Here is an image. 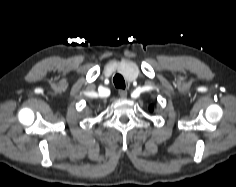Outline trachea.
<instances>
[{"instance_id": "1", "label": "trachea", "mask_w": 236, "mask_h": 187, "mask_svg": "<svg viewBox=\"0 0 236 187\" xmlns=\"http://www.w3.org/2000/svg\"><path fill=\"white\" fill-rule=\"evenodd\" d=\"M115 87L125 89V81L122 75L116 74L113 78Z\"/></svg>"}]
</instances>
